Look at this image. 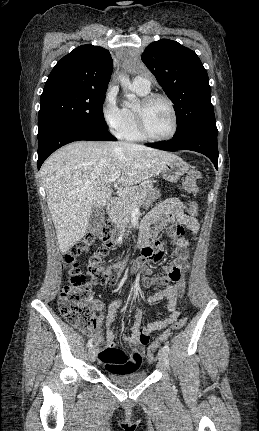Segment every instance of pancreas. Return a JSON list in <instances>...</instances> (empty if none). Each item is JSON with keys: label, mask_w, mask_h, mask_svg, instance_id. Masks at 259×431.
Returning a JSON list of instances; mask_svg holds the SVG:
<instances>
[{"label": "pancreas", "mask_w": 259, "mask_h": 431, "mask_svg": "<svg viewBox=\"0 0 259 431\" xmlns=\"http://www.w3.org/2000/svg\"><path fill=\"white\" fill-rule=\"evenodd\" d=\"M151 189L152 184L132 186L120 196L110 213V218L120 233L125 231L131 211L135 206L143 204Z\"/></svg>", "instance_id": "1"}]
</instances>
